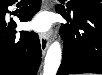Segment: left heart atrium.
I'll use <instances>...</instances> for the list:
<instances>
[{
    "instance_id": "39dd6f15",
    "label": "left heart atrium",
    "mask_w": 102,
    "mask_h": 75,
    "mask_svg": "<svg viewBox=\"0 0 102 75\" xmlns=\"http://www.w3.org/2000/svg\"><path fill=\"white\" fill-rule=\"evenodd\" d=\"M31 26L36 31L47 34L51 30L52 18L49 13H41L34 18Z\"/></svg>"
}]
</instances>
